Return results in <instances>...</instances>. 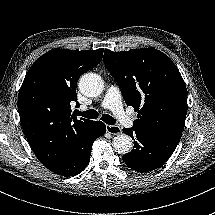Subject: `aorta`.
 I'll return each mask as SVG.
<instances>
[{"instance_id": "obj_1", "label": "aorta", "mask_w": 215, "mask_h": 215, "mask_svg": "<svg viewBox=\"0 0 215 215\" xmlns=\"http://www.w3.org/2000/svg\"><path fill=\"white\" fill-rule=\"evenodd\" d=\"M79 88L87 97L98 96L102 92L101 78L96 74L86 73L80 78ZM112 145L118 153L126 154L133 149V140L122 133L113 138Z\"/></svg>"}]
</instances>
